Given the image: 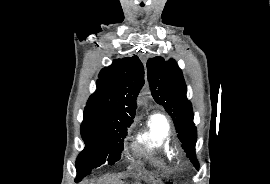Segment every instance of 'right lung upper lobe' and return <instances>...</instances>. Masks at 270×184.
<instances>
[{
	"instance_id": "1",
	"label": "right lung upper lobe",
	"mask_w": 270,
	"mask_h": 184,
	"mask_svg": "<svg viewBox=\"0 0 270 184\" xmlns=\"http://www.w3.org/2000/svg\"><path fill=\"white\" fill-rule=\"evenodd\" d=\"M144 84V67L137 56L118 59L103 68L97 90L88 99L86 110L94 118L133 121L136 98Z\"/></svg>"
}]
</instances>
